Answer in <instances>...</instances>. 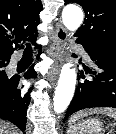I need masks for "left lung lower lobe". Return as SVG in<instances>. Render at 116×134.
Instances as JSON below:
<instances>
[{"instance_id": "1", "label": "left lung lower lobe", "mask_w": 116, "mask_h": 134, "mask_svg": "<svg viewBox=\"0 0 116 134\" xmlns=\"http://www.w3.org/2000/svg\"><path fill=\"white\" fill-rule=\"evenodd\" d=\"M95 66L85 70L92 79L79 83L71 100L64 121L72 114L88 108H116V52L83 45ZM85 78L83 71L78 77Z\"/></svg>"}]
</instances>
